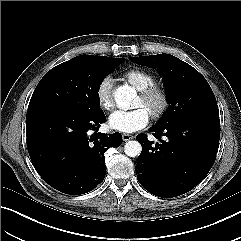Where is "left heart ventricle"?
<instances>
[{"instance_id":"b2bd125f","label":"left heart ventricle","mask_w":241,"mask_h":241,"mask_svg":"<svg viewBox=\"0 0 241 241\" xmlns=\"http://www.w3.org/2000/svg\"><path fill=\"white\" fill-rule=\"evenodd\" d=\"M134 107H144L145 109L148 110V112H149V109H150L149 104L143 102V100L141 99L140 96L137 97V99L135 101V104H134Z\"/></svg>"}]
</instances>
